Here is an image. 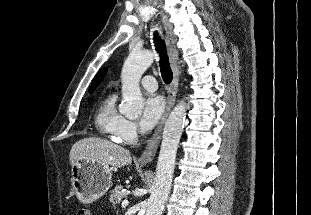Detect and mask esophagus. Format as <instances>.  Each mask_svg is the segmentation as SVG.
Here are the masks:
<instances>
[{"instance_id": "34e87169", "label": "esophagus", "mask_w": 311, "mask_h": 215, "mask_svg": "<svg viewBox=\"0 0 311 215\" xmlns=\"http://www.w3.org/2000/svg\"><path fill=\"white\" fill-rule=\"evenodd\" d=\"M160 14H161V19L164 25L165 34H166V40H167L168 51H169V56H170V63H171V68L173 72V79H172L170 89H169L168 103H167L166 110L158 126L156 127L155 132L153 133L152 137L148 140L145 150L143 151L141 156L138 158V163L140 165H147L153 160L156 154V151L158 149V146L160 144L164 123L168 117L170 110L172 109L175 103L176 94L178 91L179 68H178V50L176 48V38L173 33V26L169 22L168 17L163 12H161Z\"/></svg>"}]
</instances>
